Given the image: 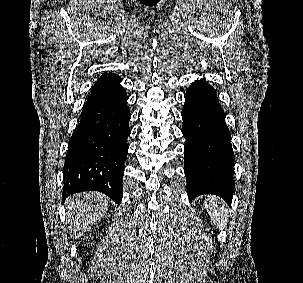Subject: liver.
I'll return each instance as SVG.
<instances>
[{
    "label": "liver",
    "mask_w": 303,
    "mask_h": 283,
    "mask_svg": "<svg viewBox=\"0 0 303 283\" xmlns=\"http://www.w3.org/2000/svg\"><path fill=\"white\" fill-rule=\"evenodd\" d=\"M66 224L71 237L79 238L94 225L108 209L105 195L98 192L78 193L66 200Z\"/></svg>",
    "instance_id": "1"
}]
</instances>
